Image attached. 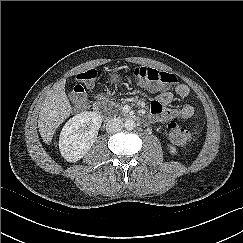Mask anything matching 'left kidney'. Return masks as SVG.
I'll return each instance as SVG.
<instances>
[{"label":"left kidney","instance_id":"5707ae66","mask_svg":"<svg viewBox=\"0 0 243 243\" xmlns=\"http://www.w3.org/2000/svg\"><path fill=\"white\" fill-rule=\"evenodd\" d=\"M169 150H170L171 154H176L177 153L176 148L173 147V146H169Z\"/></svg>","mask_w":243,"mask_h":243}]
</instances>
